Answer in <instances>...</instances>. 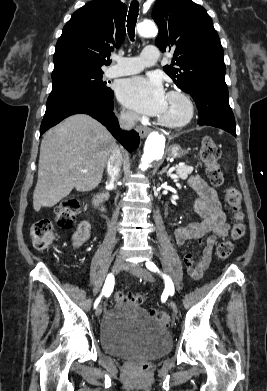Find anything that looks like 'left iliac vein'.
<instances>
[{
  "label": "left iliac vein",
  "mask_w": 267,
  "mask_h": 391,
  "mask_svg": "<svg viewBox=\"0 0 267 391\" xmlns=\"http://www.w3.org/2000/svg\"><path fill=\"white\" fill-rule=\"evenodd\" d=\"M125 268L129 272H131L133 275L142 277L145 281H148V282L153 281V276L151 275V273L147 269L143 268L141 265H132L130 263H127L125 265ZM169 304H170V307H171L173 313L177 314L178 307H177L176 303L173 300H171Z\"/></svg>",
  "instance_id": "4c4485c4"
}]
</instances>
